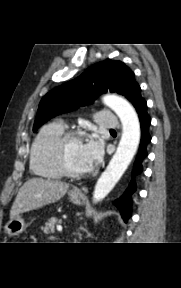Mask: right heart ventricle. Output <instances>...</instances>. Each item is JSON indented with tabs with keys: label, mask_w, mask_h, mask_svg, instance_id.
Masks as SVG:
<instances>
[{
	"label": "right heart ventricle",
	"mask_w": 181,
	"mask_h": 288,
	"mask_svg": "<svg viewBox=\"0 0 181 288\" xmlns=\"http://www.w3.org/2000/svg\"><path fill=\"white\" fill-rule=\"evenodd\" d=\"M65 132L63 124L52 122L44 125L35 137L30 150L29 164L31 171L44 179H59V171L54 159V146L57 139Z\"/></svg>",
	"instance_id": "e07e8e85"
}]
</instances>
